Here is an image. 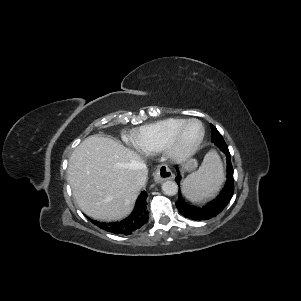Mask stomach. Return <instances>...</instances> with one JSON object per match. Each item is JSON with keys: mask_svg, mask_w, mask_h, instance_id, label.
Wrapping results in <instances>:
<instances>
[{"mask_svg": "<svg viewBox=\"0 0 301 301\" xmlns=\"http://www.w3.org/2000/svg\"><path fill=\"white\" fill-rule=\"evenodd\" d=\"M196 166H197V162L194 159H190L184 164L185 169L188 171L195 169Z\"/></svg>", "mask_w": 301, "mask_h": 301, "instance_id": "1", "label": "stomach"}]
</instances>
